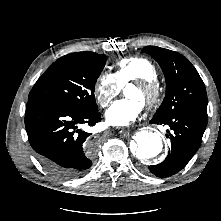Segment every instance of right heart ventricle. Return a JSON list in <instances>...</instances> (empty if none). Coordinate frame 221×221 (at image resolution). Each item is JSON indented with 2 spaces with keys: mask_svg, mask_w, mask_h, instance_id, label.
Returning <instances> with one entry per match:
<instances>
[{
  "mask_svg": "<svg viewBox=\"0 0 221 221\" xmlns=\"http://www.w3.org/2000/svg\"><path fill=\"white\" fill-rule=\"evenodd\" d=\"M114 77L120 85H125L129 81L136 79L156 80L157 71L154 64L146 57L132 56L127 57L119 62L114 67Z\"/></svg>",
  "mask_w": 221,
  "mask_h": 221,
  "instance_id": "1",
  "label": "right heart ventricle"
}]
</instances>
